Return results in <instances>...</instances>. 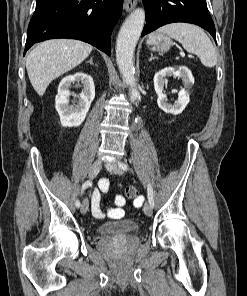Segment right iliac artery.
<instances>
[{"label":"right iliac artery","mask_w":247,"mask_h":296,"mask_svg":"<svg viewBox=\"0 0 247 296\" xmlns=\"http://www.w3.org/2000/svg\"><path fill=\"white\" fill-rule=\"evenodd\" d=\"M91 184H92V183H91V181H89V180L86 181V182H84L83 185H82V191L85 190L86 188H88L89 186H91ZM75 205H76L77 208H79L80 205H81V204H80V201L77 200L76 203H75Z\"/></svg>","instance_id":"1"}]
</instances>
